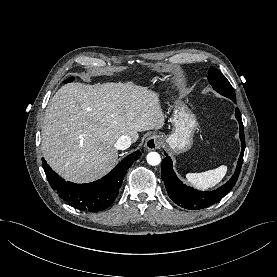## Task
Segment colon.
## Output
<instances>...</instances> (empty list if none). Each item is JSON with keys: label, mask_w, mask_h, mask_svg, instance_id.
Returning <instances> with one entry per match:
<instances>
[{"label": "colon", "mask_w": 277, "mask_h": 277, "mask_svg": "<svg viewBox=\"0 0 277 277\" xmlns=\"http://www.w3.org/2000/svg\"><path fill=\"white\" fill-rule=\"evenodd\" d=\"M71 81H72V79H69V80H68V81H66V82L68 83V82H71Z\"/></svg>", "instance_id": "5ec220e1"}]
</instances>
